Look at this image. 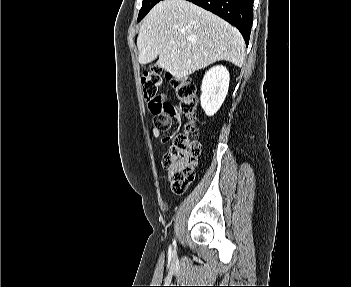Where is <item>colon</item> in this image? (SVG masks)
<instances>
[{"instance_id":"colon-1","label":"colon","mask_w":351,"mask_h":287,"mask_svg":"<svg viewBox=\"0 0 351 287\" xmlns=\"http://www.w3.org/2000/svg\"><path fill=\"white\" fill-rule=\"evenodd\" d=\"M161 85L162 75L158 66L153 65L143 72L141 90L149 109L154 114V127L165 131L175 116L193 117L198 106V97L196 85L190 77L174 80L178 106L172 105L159 95ZM194 132V125L187 124L185 132L175 136L172 146L163 158V166L168 171L172 190L178 194L186 192L195 179V166L200 154V145L191 138Z\"/></svg>"}]
</instances>
